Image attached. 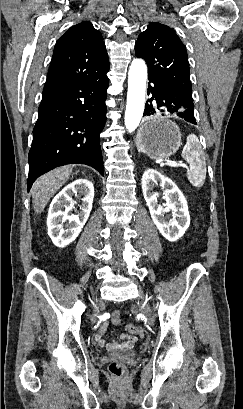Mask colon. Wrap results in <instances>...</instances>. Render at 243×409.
Instances as JSON below:
<instances>
[{
    "label": "colon",
    "instance_id": "1",
    "mask_svg": "<svg viewBox=\"0 0 243 409\" xmlns=\"http://www.w3.org/2000/svg\"><path fill=\"white\" fill-rule=\"evenodd\" d=\"M111 320L114 324H119L120 323V312L118 310L113 311V313L111 314ZM127 331L129 333H133L139 337L143 336V330L141 327L139 326H135V325H128L127 326ZM109 372L111 373V375L117 379L121 378L124 373H125V367L122 363L117 362V361H113L109 364Z\"/></svg>",
    "mask_w": 243,
    "mask_h": 409
}]
</instances>
